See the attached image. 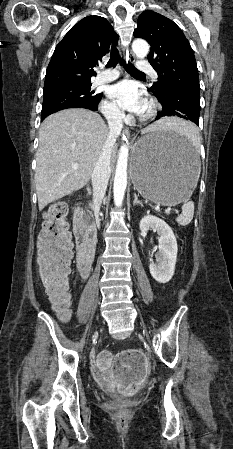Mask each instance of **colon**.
Masks as SVG:
<instances>
[{"label":"colon","instance_id":"1","mask_svg":"<svg viewBox=\"0 0 233 449\" xmlns=\"http://www.w3.org/2000/svg\"><path fill=\"white\" fill-rule=\"evenodd\" d=\"M65 201L51 203L39 234L38 272L43 287L62 317L70 313L69 270L72 260V243L68 231ZM124 411L119 415L123 416Z\"/></svg>","mask_w":233,"mask_h":449}]
</instances>
